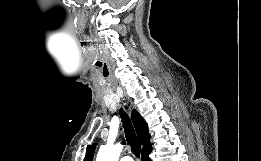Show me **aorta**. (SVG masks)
I'll list each match as a JSON object with an SVG mask.
<instances>
[{
  "label": "aorta",
  "mask_w": 261,
  "mask_h": 161,
  "mask_svg": "<svg viewBox=\"0 0 261 161\" xmlns=\"http://www.w3.org/2000/svg\"><path fill=\"white\" fill-rule=\"evenodd\" d=\"M122 148L121 144L102 145L97 154L96 161H118Z\"/></svg>",
  "instance_id": "1"
}]
</instances>
